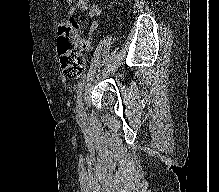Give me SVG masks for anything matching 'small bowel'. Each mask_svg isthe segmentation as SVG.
I'll return each instance as SVG.
<instances>
[{
	"mask_svg": "<svg viewBox=\"0 0 219 192\" xmlns=\"http://www.w3.org/2000/svg\"><path fill=\"white\" fill-rule=\"evenodd\" d=\"M72 7L78 11H86L88 17L94 20L88 31V39L82 43L83 49L89 51L92 47L93 33L98 27L97 18L102 10L99 5L92 3L91 0H76Z\"/></svg>",
	"mask_w": 219,
	"mask_h": 192,
	"instance_id": "1",
	"label": "small bowel"
}]
</instances>
